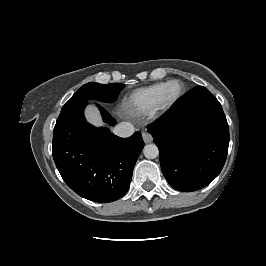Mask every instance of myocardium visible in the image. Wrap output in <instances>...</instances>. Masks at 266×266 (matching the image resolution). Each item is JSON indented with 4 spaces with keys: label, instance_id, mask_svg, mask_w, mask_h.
I'll list each match as a JSON object with an SVG mask.
<instances>
[{
    "label": "myocardium",
    "instance_id": "myocardium-1",
    "mask_svg": "<svg viewBox=\"0 0 266 266\" xmlns=\"http://www.w3.org/2000/svg\"><path fill=\"white\" fill-rule=\"evenodd\" d=\"M172 84H177L179 86V92L175 97H173L171 99H167V97H166L167 90ZM183 93H184V86L180 80L173 79V80L166 82L165 86H164V88L160 94L156 111L159 113H163V112L169 110L181 98Z\"/></svg>",
    "mask_w": 266,
    "mask_h": 266
}]
</instances>
